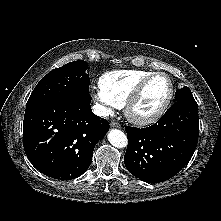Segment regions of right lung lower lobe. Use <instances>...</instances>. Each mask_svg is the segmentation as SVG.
<instances>
[{
	"label": "right lung lower lobe",
	"mask_w": 221,
	"mask_h": 221,
	"mask_svg": "<svg viewBox=\"0 0 221 221\" xmlns=\"http://www.w3.org/2000/svg\"><path fill=\"white\" fill-rule=\"evenodd\" d=\"M89 94L75 103L51 102L26 108L23 145L39 171L60 180L80 176L90 166L96 143L109 130L95 115Z\"/></svg>",
	"instance_id": "1"
}]
</instances>
